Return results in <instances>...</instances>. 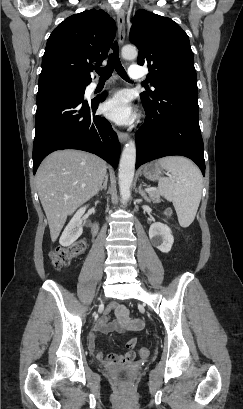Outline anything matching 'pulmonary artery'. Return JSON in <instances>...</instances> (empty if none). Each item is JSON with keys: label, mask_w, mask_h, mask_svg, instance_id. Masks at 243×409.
Masks as SVG:
<instances>
[{"label": "pulmonary artery", "mask_w": 243, "mask_h": 409, "mask_svg": "<svg viewBox=\"0 0 243 409\" xmlns=\"http://www.w3.org/2000/svg\"><path fill=\"white\" fill-rule=\"evenodd\" d=\"M129 75L131 78L139 80L143 77V72L141 69H139V67H133L129 70ZM96 87L97 83L95 82L90 85V89H95Z\"/></svg>", "instance_id": "pulmonary-artery-1"}]
</instances>
